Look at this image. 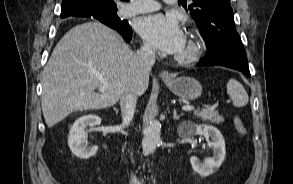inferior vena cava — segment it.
Here are the masks:
<instances>
[{
    "instance_id": "inferior-vena-cava-1",
    "label": "inferior vena cava",
    "mask_w": 293,
    "mask_h": 184,
    "mask_svg": "<svg viewBox=\"0 0 293 184\" xmlns=\"http://www.w3.org/2000/svg\"><path fill=\"white\" fill-rule=\"evenodd\" d=\"M155 63V48L149 44H144L136 53V68L137 72L141 75L150 73L153 64ZM139 92L133 86L125 88L120 97V107L122 113V124L127 126L133 119L137 98ZM132 184H140L135 176H132Z\"/></svg>"
}]
</instances>
